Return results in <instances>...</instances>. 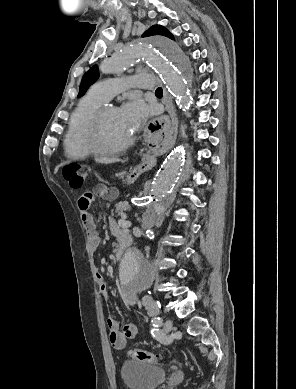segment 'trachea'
Listing matches in <instances>:
<instances>
[{
    "label": "trachea",
    "mask_w": 296,
    "mask_h": 389,
    "mask_svg": "<svg viewBox=\"0 0 296 389\" xmlns=\"http://www.w3.org/2000/svg\"><path fill=\"white\" fill-rule=\"evenodd\" d=\"M155 94L157 95H163V90L161 87L157 88L156 91H155Z\"/></svg>",
    "instance_id": "obj_1"
}]
</instances>
